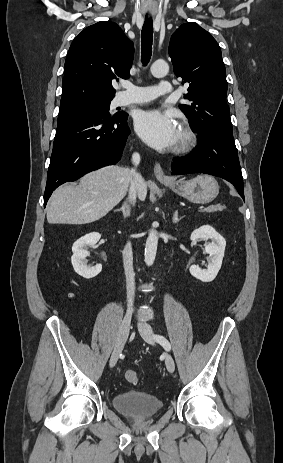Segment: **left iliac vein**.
Listing matches in <instances>:
<instances>
[{
  "mask_svg": "<svg viewBox=\"0 0 283 463\" xmlns=\"http://www.w3.org/2000/svg\"><path fill=\"white\" fill-rule=\"evenodd\" d=\"M138 330L142 336V338L149 344H154L153 339V329L152 327L146 322H139L138 323ZM165 364L169 372H174L175 370V362L173 357L170 354H166L165 356Z\"/></svg>",
  "mask_w": 283,
  "mask_h": 463,
  "instance_id": "1",
  "label": "left iliac vein"
}]
</instances>
